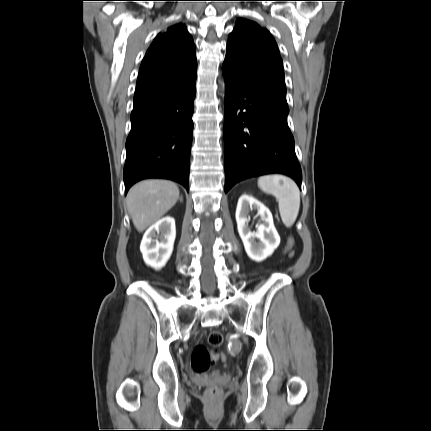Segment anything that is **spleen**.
<instances>
[{"label": "spleen", "mask_w": 431, "mask_h": 431, "mask_svg": "<svg viewBox=\"0 0 431 431\" xmlns=\"http://www.w3.org/2000/svg\"><path fill=\"white\" fill-rule=\"evenodd\" d=\"M258 187L278 200L282 222L291 227L300 208V191L296 183L282 175H265L258 179Z\"/></svg>", "instance_id": "3e777b00"}]
</instances>
